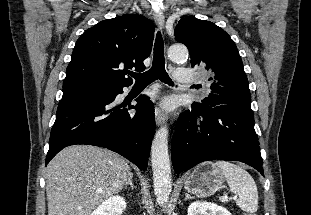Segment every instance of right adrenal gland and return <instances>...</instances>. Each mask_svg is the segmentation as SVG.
Listing matches in <instances>:
<instances>
[{
	"mask_svg": "<svg viewBox=\"0 0 311 215\" xmlns=\"http://www.w3.org/2000/svg\"><path fill=\"white\" fill-rule=\"evenodd\" d=\"M132 177H133V174H131L130 178L128 179V181L125 183V189H127L128 186L131 187L132 190H134V184L132 182Z\"/></svg>",
	"mask_w": 311,
	"mask_h": 215,
	"instance_id": "obj_1",
	"label": "right adrenal gland"
}]
</instances>
